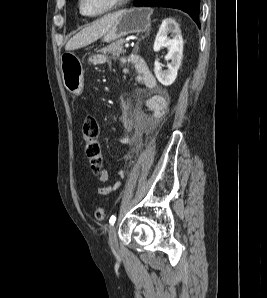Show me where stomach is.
I'll return each mask as SVG.
<instances>
[{
	"label": "stomach",
	"mask_w": 267,
	"mask_h": 298,
	"mask_svg": "<svg viewBox=\"0 0 267 298\" xmlns=\"http://www.w3.org/2000/svg\"><path fill=\"white\" fill-rule=\"evenodd\" d=\"M152 9L122 10L114 25L103 35L102 41L111 42L132 33L146 32L151 23ZM61 72L65 88L74 95L83 91L84 71L76 55L66 52L61 56Z\"/></svg>",
	"instance_id": "stomach-1"
}]
</instances>
